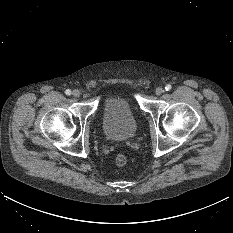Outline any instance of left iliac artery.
Instances as JSON below:
<instances>
[{"mask_svg": "<svg viewBox=\"0 0 233 233\" xmlns=\"http://www.w3.org/2000/svg\"><path fill=\"white\" fill-rule=\"evenodd\" d=\"M171 88H172V86H171L170 84H167V85L165 86V90H166V91L171 90Z\"/></svg>", "mask_w": 233, "mask_h": 233, "instance_id": "left-iliac-artery-1", "label": "left iliac artery"}]
</instances>
